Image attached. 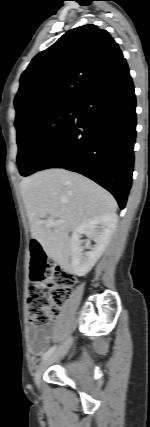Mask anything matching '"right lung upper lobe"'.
Segmentation results:
<instances>
[{
    "mask_svg": "<svg viewBox=\"0 0 150 427\" xmlns=\"http://www.w3.org/2000/svg\"><path fill=\"white\" fill-rule=\"evenodd\" d=\"M128 65L118 44L93 24L74 28L37 54L20 79L16 120L39 108L78 105Z\"/></svg>",
    "mask_w": 150,
    "mask_h": 427,
    "instance_id": "obj_1",
    "label": "right lung upper lobe"
}]
</instances>
